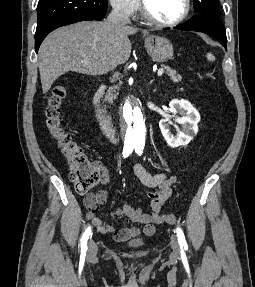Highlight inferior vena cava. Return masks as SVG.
<instances>
[{
    "label": "inferior vena cava",
    "instance_id": "1",
    "mask_svg": "<svg viewBox=\"0 0 255 287\" xmlns=\"http://www.w3.org/2000/svg\"><path fill=\"white\" fill-rule=\"evenodd\" d=\"M107 24H111V26H123V24H131L129 14L123 4V0L120 2H115L113 4V10L111 14H109L107 20Z\"/></svg>",
    "mask_w": 255,
    "mask_h": 287
}]
</instances>
